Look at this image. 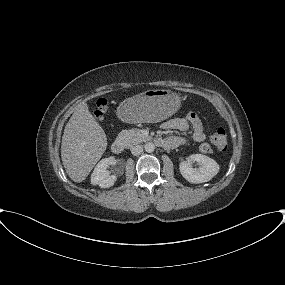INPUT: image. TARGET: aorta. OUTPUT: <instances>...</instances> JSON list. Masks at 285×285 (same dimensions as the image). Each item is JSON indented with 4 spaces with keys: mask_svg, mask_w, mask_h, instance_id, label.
I'll list each match as a JSON object with an SVG mask.
<instances>
[{
    "mask_svg": "<svg viewBox=\"0 0 285 285\" xmlns=\"http://www.w3.org/2000/svg\"><path fill=\"white\" fill-rule=\"evenodd\" d=\"M144 149H145L146 152L151 153V152H153L155 150V145L152 142H147L144 145Z\"/></svg>",
    "mask_w": 285,
    "mask_h": 285,
    "instance_id": "762f6f07",
    "label": "aorta"
}]
</instances>
